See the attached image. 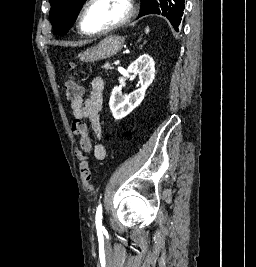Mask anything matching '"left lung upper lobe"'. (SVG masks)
<instances>
[{"mask_svg": "<svg viewBox=\"0 0 256 267\" xmlns=\"http://www.w3.org/2000/svg\"><path fill=\"white\" fill-rule=\"evenodd\" d=\"M51 4L50 20L55 32L64 35L74 24L82 5L86 0H49ZM160 14L171 23L174 20V0H142L138 16Z\"/></svg>", "mask_w": 256, "mask_h": 267, "instance_id": "obj_1", "label": "left lung upper lobe"}]
</instances>
